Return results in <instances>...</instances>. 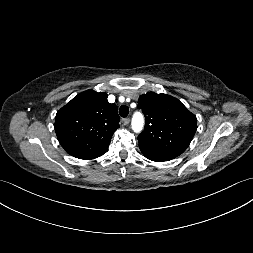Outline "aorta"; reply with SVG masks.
Returning <instances> with one entry per match:
<instances>
[{"label":"aorta","instance_id":"762f6f07","mask_svg":"<svg viewBox=\"0 0 253 253\" xmlns=\"http://www.w3.org/2000/svg\"><path fill=\"white\" fill-rule=\"evenodd\" d=\"M144 118L141 113L134 114L132 118V129L134 132L139 133L143 129Z\"/></svg>","mask_w":253,"mask_h":253}]
</instances>
